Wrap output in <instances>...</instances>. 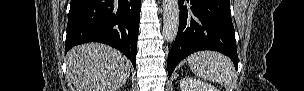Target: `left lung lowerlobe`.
Masks as SVG:
<instances>
[{
    "mask_svg": "<svg viewBox=\"0 0 304 91\" xmlns=\"http://www.w3.org/2000/svg\"><path fill=\"white\" fill-rule=\"evenodd\" d=\"M179 7L178 34L167 61L169 76L182 59L200 50L225 54L237 69L238 55L230 0H181Z\"/></svg>",
    "mask_w": 304,
    "mask_h": 91,
    "instance_id": "1",
    "label": "left lung lower lobe"
}]
</instances>
